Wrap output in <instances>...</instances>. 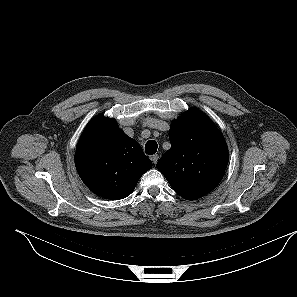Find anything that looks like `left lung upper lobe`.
Here are the masks:
<instances>
[{
	"mask_svg": "<svg viewBox=\"0 0 297 297\" xmlns=\"http://www.w3.org/2000/svg\"><path fill=\"white\" fill-rule=\"evenodd\" d=\"M169 139L171 148L160 158L157 169L173 190L187 200L214 190L228 164L226 141L214 123L191 108L173 121Z\"/></svg>",
	"mask_w": 297,
	"mask_h": 297,
	"instance_id": "1",
	"label": "left lung upper lobe"
}]
</instances>
